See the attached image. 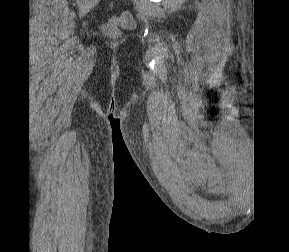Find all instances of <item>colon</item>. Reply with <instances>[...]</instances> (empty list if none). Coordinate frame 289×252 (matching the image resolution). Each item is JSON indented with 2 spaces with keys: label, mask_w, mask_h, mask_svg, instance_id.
<instances>
[{
  "label": "colon",
  "mask_w": 289,
  "mask_h": 252,
  "mask_svg": "<svg viewBox=\"0 0 289 252\" xmlns=\"http://www.w3.org/2000/svg\"><path fill=\"white\" fill-rule=\"evenodd\" d=\"M133 25V17L129 12H124L120 17L111 19L105 25V32L109 35L115 36L119 28H128Z\"/></svg>",
  "instance_id": "obj_1"
}]
</instances>
